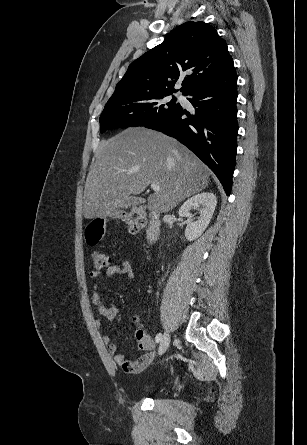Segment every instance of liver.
<instances>
[{
    "mask_svg": "<svg viewBox=\"0 0 307 445\" xmlns=\"http://www.w3.org/2000/svg\"><path fill=\"white\" fill-rule=\"evenodd\" d=\"M95 156L85 182V218L128 208L130 194H140L150 182L160 186L148 196V208L156 212H168L208 186V166L176 138L151 128H126L100 140Z\"/></svg>",
    "mask_w": 307,
    "mask_h": 445,
    "instance_id": "6515ba94",
    "label": "liver"
}]
</instances>
